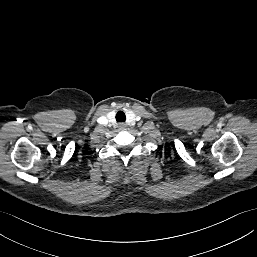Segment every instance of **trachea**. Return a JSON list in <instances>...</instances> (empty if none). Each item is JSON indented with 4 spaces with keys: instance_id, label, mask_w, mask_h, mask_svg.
Returning a JSON list of instances; mask_svg holds the SVG:
<instances>
[{
    "instance_id": "3493384b",
    "label": "trachea",
    "mask_w": 257,
    "mask_h": 257,
    "mask_svg": "<svg viewBox=\"0 0 257 257\" xmlns=\"http://www.w3.org/2000/svg\"><path fill=\"white\" fill-rule=\"evenodd\" d=\"M115 118L117 122H125L126 120V116L123 111H118Z\"/></svg>"
}]
</instances>
